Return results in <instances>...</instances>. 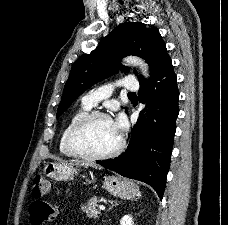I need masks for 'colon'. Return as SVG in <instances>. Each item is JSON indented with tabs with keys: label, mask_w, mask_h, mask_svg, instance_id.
<instances>
[{
	"label": "colon",
	"mask_w": 228,
	"mask_h": 225,
	"mask_svg": "<svg viewBox=\"0 0 228 225\" xmlns=\"http://www.w3.org/2000/svg\"><path fill=\"white\" fill-rule=\"evenodd\" d=\"M53 183L44 175H37L32 186V196L35 200H42L43 197L52 190Z\"/></svg>",
	"instance_id": "colon-1"
}]
</instances>
